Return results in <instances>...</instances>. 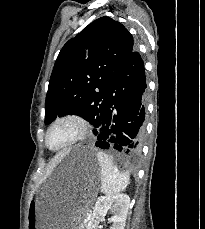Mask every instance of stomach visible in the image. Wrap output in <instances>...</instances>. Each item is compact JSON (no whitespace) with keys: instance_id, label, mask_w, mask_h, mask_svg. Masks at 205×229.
<instances>
[{"instance_id":"obj_1","label":"stomach","mask_w":205,"mask_h":229,"mask_svg":"<svg viewBox=\"0 0 205 229\" xmlns=\"http://www.w3.org/2000/svg\"><path fill=\"white\" fill-rule=\"evenodd\" d=\"M65 156L78 161L80 196L74 201L63 194L37 196L28 207L27 229H83L82 219L94 196L100 164L93 149L81 146L72 148Z\"/></svg>"}]
</instances>
